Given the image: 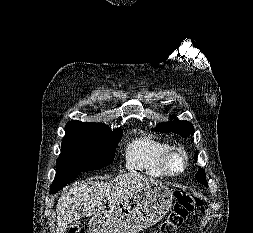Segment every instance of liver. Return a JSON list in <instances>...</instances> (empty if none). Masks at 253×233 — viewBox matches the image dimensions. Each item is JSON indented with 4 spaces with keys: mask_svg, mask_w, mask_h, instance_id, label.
<instances>
[{
    "mask_svg": "<svg viewBox=\"0 0 253 233\" xmlns=\"http://www.w3.org/2000/svg\"><path fill=\"white\" fill-rule=\"evenodd\" d=\"M159 181L139 173H126L108 182L88 179L83 183L66 189L56 205V233H65L69 225L84 216L99 215L106 207L102 200L106 198L110 206L121 204L137 192Z\"/></svg>",
    "mask_w": 253,
    "mask_h": 233,
    "instance_id": "6515ba94",
    "label": "liver"
}]
</instances>
